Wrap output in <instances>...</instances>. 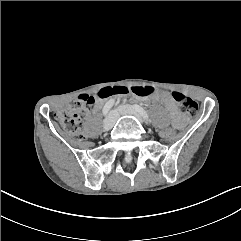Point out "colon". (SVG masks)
I'll return each instance as SVG.
<instances>
[{
    "label": "colon",
    "instance_id": "obj_1",
    "mask_svg": "<svg viewBox=\"0 0 241 241\" xmlns=\"http://www.w3.org/2000/svg\"><path fill=\"white\" fill-rule=\"evenodd\" d=\"M154 89L149 86H114L101 89L95 95H80L66 109L55 113L54 117L59 126L74 138L83 137L81 131L82 116L95 104L96 101L106 99L110 96L134 95L137 97H147ZM174 101L179 108L189 116H196L199 108L196 101L180 92L172 94ZM158 137L169 139L174 136V131L170 128L159 127L156 130Z\"/></svg>",
    "mask_w": 241,
    "mask_h": 241
}]
</instances>
